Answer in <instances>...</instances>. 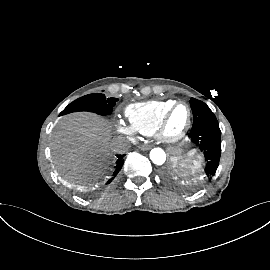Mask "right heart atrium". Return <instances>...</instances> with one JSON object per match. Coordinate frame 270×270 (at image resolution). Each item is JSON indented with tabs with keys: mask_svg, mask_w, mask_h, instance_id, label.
I'll return each instance as SVG.
<instances>
[{
	"mask_svg": "<svg viewBox=\"0 0 270 270\" xmlns=\"http://www.w3.org/2000/svg\"><path fill=\"white\" fill-rule=\"evenodd\" d=\"M117 129L120 133L127 135L129 137H133L135 134V131L130 127V125H127L123 122H119L117 124Z\"/></svg>",
	"mask_w": 270,
	"mask_h": 270,
	"instance_id": "obj_1",
	"label": "right heart atrium"
}]
</instances>
